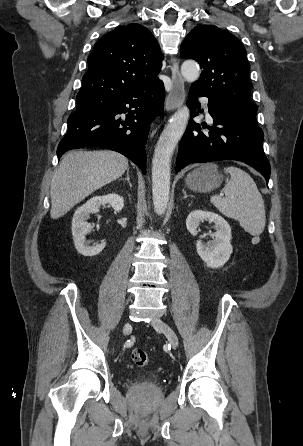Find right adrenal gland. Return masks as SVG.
<instances>
[{
  "instance_id": "2a0ac1e0",
  "label": "right adrenal gland",
  "mask_w": 303,
  "mask_h": 446,
  "mask_svg": "<svg viewBox=\"0 0 303 446\" xmlns=\"http://www.w3.org/2000/svg\"><path fill=\"white\" fill-rule=\"evenodd\" d=\"M121 180L127 181L129 183V186L132 187V184L130 182L129 169H127V176H126V178H121Z\"/></svg>"
}]
</instances>
